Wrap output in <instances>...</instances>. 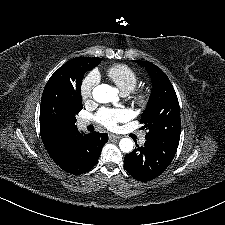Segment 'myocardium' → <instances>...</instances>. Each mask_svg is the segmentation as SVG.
Listing matches in <instances>:
<instances>
[{"instance_id":"obj_1","label":"myocardium","mask_w":225,"mask_h":225,"mask_svg":"<svg viewBox=\"0 0 225 225\" xmlns=\"http://www.w3.org/2000/svg\"><path fill=\"white\" fill-rule=\"evenodd\" d=\"M128 94L132 103L139 108L145 107L150 99V91L147 87L134 88Z\"/></svg>"}]
</instances>
